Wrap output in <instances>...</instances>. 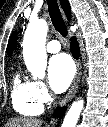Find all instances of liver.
Segmentation results:
<instances>
[{
  "mask_svg": "<svg viewBox=\"0 0 108 127\" xmlns=\"http://www.w3.org/2000/svg\"><path fill=\"white\" fill-rule=\"evenodd\" d=\"M5 127H42V120L32 117H15L9 119Z\"/></svg>",
  "mask_w": 108,
  "mask_h": 127,
  "instance_id": "obj_1",
  "label": "liver"
}]
</instances>
